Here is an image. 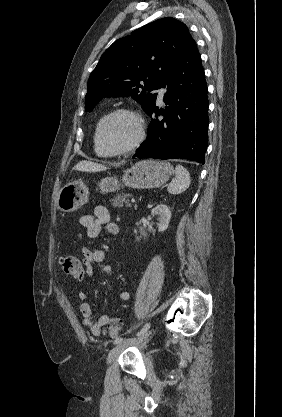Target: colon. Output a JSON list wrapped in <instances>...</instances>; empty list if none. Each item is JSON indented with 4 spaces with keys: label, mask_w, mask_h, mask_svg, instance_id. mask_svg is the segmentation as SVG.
<instances>
[{
    "label": "colon",
    "mask_w": 282,
    "mask_h": 417,
    "mask_svg": "<svg viewBox=\"0 0 282 417\" xmlns=\"http://www.w3.org/2000/svg\"><path fill=\"white\" fill-rule=\"evenodd\" d=\"M76 256L68 255L61 260V269L63 273L70 277H79L83 274L85 266L76 265ZM121 321L118 318H112L107 324L108 337L110 339H119L121 337Z\"/></svg>",
    "instance_id": "1"
}]
</instances>
